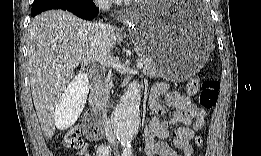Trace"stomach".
<instances>
[{
	"mask_svg": "<svg viewBox=\"0 0 261 156\" xmlns=\"http://www.w3.org/2000/svg\"><path fill=\"white\" fill-rule=\"evenodd\" d=\"M126 23L137 49L151 59L165 79L187 80L209 57L211 30L193 20L182 2L143 4L129 12Z\"/></svg>",
	"mask_w": 261,
	"mask_h": 156,
	"instance_id": "1",
	"label": "stomach"
}]
</instances>
